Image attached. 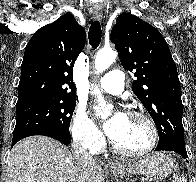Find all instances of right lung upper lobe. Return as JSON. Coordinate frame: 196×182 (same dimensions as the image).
Instances as JSON below:
<instances>
[{
  "label": "right lung upper lobe",
  "mask_w": 196,
  "mask_h": 182,
  "mask_svg": "<svg viewBox=\"0 0 196 182\" xmlns=\"http://www.w3.org/2000/svg\"><path fill=\"white\" fill-rule=\"evenodd\" d=\"M85 45V30L71 13L39 29L28 42L16 105L43 98L75 97L74 62Z\"/></svg>",
  "instance_id": "cb5924a9"
}]
</instances>
